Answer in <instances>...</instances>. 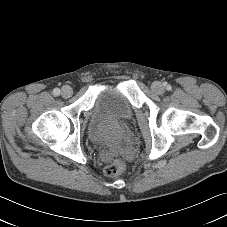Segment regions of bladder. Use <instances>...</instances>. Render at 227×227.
I'll return each mask as SVG.
<instances>
[{"mask_svg": "<svg viewBox=\"0 0 227 227\" xmlns=\"http://www.w3.org/2000/svg\"><path fill=\"white\" fill-rule=\"evenodd\" d=\"M132 119L133 107L128 98L115 87H106L96 95L87 127L88 136L99 146L113 147Z\"/></svg>", "mask_w": 227, "mask_h": 227, "instance_id": "bladder-1", "label": "bladder"}]
</instances>
